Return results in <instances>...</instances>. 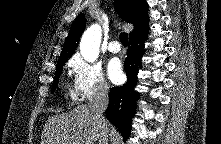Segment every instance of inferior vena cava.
Returning a JSON list of instances; mask_svg holds the SVG:
<instances>
[{"instance_id": "602c4592", "label": "inferior vena cava", "mask_w": 221, "mask_h": 144, "mask_svg": "<svg viewBox=\"0 0 221 144\" xmlns=\"http://www.w3.org/2000/svg\"><path fill=\"white\" fill-rule=\"evenodd\" d=\"M109 103V87L106 84L98 86L96 93L90 99L88 107L90 108L94 119L100 127L99 144H108L107 122L103 115Z\"/></svg>"}]
</instances>
